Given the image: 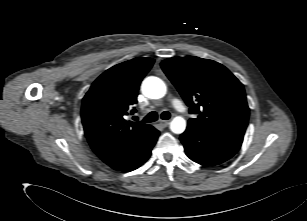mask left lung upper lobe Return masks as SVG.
<instances>
[{
	"instance_id": "1",
	"label": "left lung upper lobe",
	"mask_w": 307,
	"mask_h": 221,
	"mask_svg": "<svg viewBox=\"0 0 307 221\" xmlns=\"http://www.w3.org/2000/svg\"><path fill=\"white\" fill-rule=\"evenodd\" d=\"M161 67L190 107L188 125L243 137L249 107L242 83L223 65L198 57H174Z\"/></svg>"
}]
</instances>
